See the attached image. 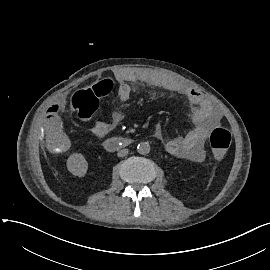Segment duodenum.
I'll return each mask as SVG.
<instances>
[{"instance_id":"410a0bca","label":"duodenum","mask_w":270,"mask_h":270,"mask_svg":"<svg viewBox=\"0 0 270 270\" xmlns=\"http://www.w3.org/2000/svg\"><path fill=\"white\" fill-rule=\"evenodd\" d=\"M132 141L125 137H111L104 141V148L108 151H115L130 145Z\"/></svg>"}]
</instances>
